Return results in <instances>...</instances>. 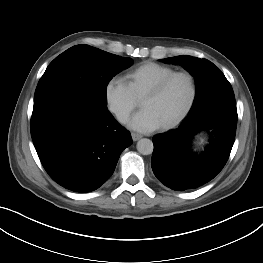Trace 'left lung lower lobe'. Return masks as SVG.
<instances>
[{"mask_svg": "<svg viewBox=\"0 0 263 263\" xmlns=\"http://www.w3.org/2000/svg\"><path fill=\"white\" fill-rule=\"evenodd\" d=\"M236 127L235 98L215 99L190 112L177 129L153 137L151 166L155 176L176 191L209 182L229 158ZM202 131L209 134V144L196 153L192 141Z\"/></svg>", "mask_w": 263, "mask_h": 263, "instance_id": "obj_1", "label": "left lung lower lobe"}]
</instances>
